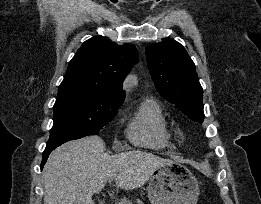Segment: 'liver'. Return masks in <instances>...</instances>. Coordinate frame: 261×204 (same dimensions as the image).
<instances>
[{"mask_svg":"<svg viewBox=\"0 0 261 204\" xmlns=\"http://www.w3.org/2000/svg\"><path fill=\"white\" fill-rule=\"evenodd\" d=\"M169 162L139 150L109 155L99 136L69 141L54 150L44 166V204H95L93 194L109 177L116 176L117 187L132 190Z\"/></svg>","mask_w":261,"mask_h":204,"instance_id":"liver-1","label":"liver"}]
</instances>
